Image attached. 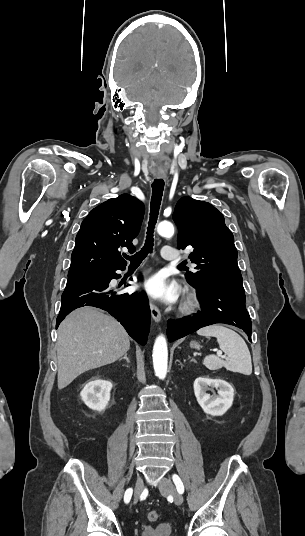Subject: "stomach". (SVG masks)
Listing matches in <instances>:
<instances>
[{
    "mask_svg": "<svg viewBox=\"0 0 305 536\" xmlns=\"http://www.w3.org/2000/svg\"><path fill=\"white\" fill-rule=\"evenodd\" d=\"M190 346L191 348H199V344H197V342H191Z\"/></svg>",
    "mask_w": 305,
    "mask_h": 536,
    "instance_id": "stomach-1",
    "label": "stomach"
}]
</instances>
